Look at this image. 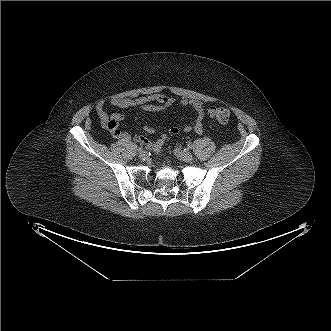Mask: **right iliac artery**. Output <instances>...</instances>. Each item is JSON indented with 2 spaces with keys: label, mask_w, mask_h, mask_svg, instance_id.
<instances>
[{
  "label": "right iliac artery",
  "mask_w": 331,
  "mask_h": 331,
  "mask_svg": "<svg viewBox=\"0 0 331 331\" xmlns=\"http://www.w3.org/2000/svg\"><path fill=\"white\" fill-rule=\"evenodd\" d=\"M138 151H139V152H142V151H143V148H142V147H139V148H138Z\"/></svg>",
  "instance_id": "right-iliac-artery-1"
}]
</instances>
